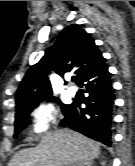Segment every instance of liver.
<instances>
[{
    "label": "liver",
    "instance_id": "obj_1",
    "mask_svg": "<svg viewBox=\"0 0 135 166\" xmlns=\"http://www.w3.org/2000/svg\"><path fill=\"white\" fill-rule=\"evenodd\" d=\"M100 144L70 129L46 133L35 148L16 153L8 166H66L99 157Z\"/></svg>",
    "mask_w": 135,
    "mask_h": 166
}]
</instances>
